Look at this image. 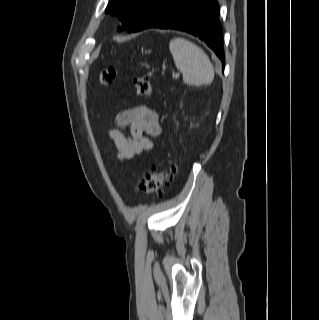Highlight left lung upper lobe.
I'll use <instances>...</instances> for the list:
<instances>
[{
	"label": "left lung upper lobe",
	"instance_id": "obj_1",
	"mask_svg": "<svg viewBox=\"0 0 319 320\" xmlns=\"http://www.w3.org/2000/svg\"><path fill=\"white\" fill-rule=\"evenodd\" d=\"M156 1L157 0H110L105 12L112 16H117L122 21L124 29L128 30L135 20L152 7Z\"/></svg>",
	"mask_w": 319,
	"mask_h": 320
}]
</instances>
